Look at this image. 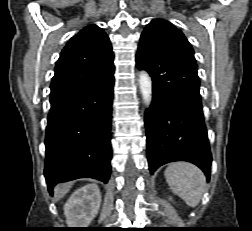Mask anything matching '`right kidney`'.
Masks as SVG:
<instances>
[{"label": "right kidney", "mask_w": 252, "mask_h": 231, "mask_svg": "<svg viewBox=\"0 0 252 231\" xmlns=\"http://www.w3.org/2000/svg\"><path fill=\"white\" fill-rule=\"evenodd\" d=\"M101 194L96 184L77 189L64 206L67 225L70 228H87L98 214Z\"/></svg>", "instance_id": "1"}]
</instances>
